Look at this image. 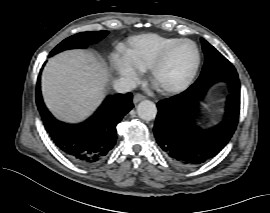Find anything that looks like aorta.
I'll list each match as a JSON object with an SVG mask.
<instances>
[{"label":"aorta","mask_w":270,"mask_h":213,"mask_svg":"<svg viewBox=\"0 0 270 213\" xmlns=\"http://www.w3.org/2000/svg\"><path fill=\"white\" fill-rule=\"evenodd\" d=\"M138 116L146 121H151L156 117V105L150 100H143L137 106Z\"/></svg>","instance_id":"aorta-1"}]
</instances>
